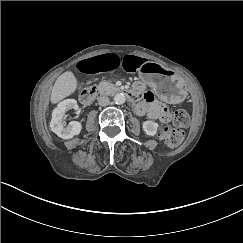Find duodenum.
<instances>
[{
    "label": "duodenum",
    "instance_id": "1",
    "mask_svg": "<svg viewBox=\"0 0 243 243\" xmlns=\"http://www.w3.org/2000/svg\"><path fill=\"white\" fill-rule=\"evenodd\" d=\"M123 93L126 94V96L128 97V99L132 102H137L141 95L139 92L135 91V90H121ZM96 97V89L94 86H89V87H86L82 92H81V95H80V101L83 105H90L94 99Z\"/></svg>",
    "mask_w": 243,
    "mask_h": 243
}]
</instances>
